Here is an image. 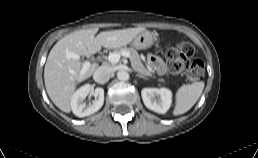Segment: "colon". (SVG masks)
I'll use <instances>...</instances> for the list:
<instances>
[{
  "label": "colon",
  "mask_w": 258,
  "mask_h": 158,
  "mask_svg": "<svg viewBox=\"0 0 258 158\" xmlns=\"http://www.w3.org/2000/svg\"><path fill=\"white\" fill-rule=\"evenodd\" d=\"M194 48L190 43L181 42L167 53L168 68L172 73L185 71L186 79L196 82L201 79L204 73V63L193 58Z\"/></svg>",
  "instance_id": "colon-1"
}]
</instances>
